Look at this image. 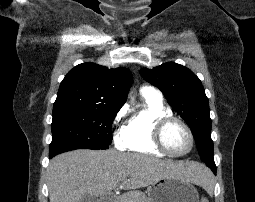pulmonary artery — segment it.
I'll return each mask as SVG.
<instances>
[{
  "instance_id": "obj_1",
  "label": "pulmonary artery",
  "mask_w": 255,
  "mask_h": 202,
  "mask_svg": "<svg viewBox=\"0 0 255 202\" xmlns=\"http://www.w3.org/2000/svg\"><path fill=\"white\" fill-rule=\"evenodd\" d=\"M140 92L142 96H150L153 98L162 99V95L160 94V92L151 86H143L140 89Z\"/></svg>"
}]
</instances>
